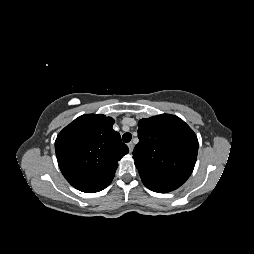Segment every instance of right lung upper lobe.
I'll list each match as a JSON object with an SVG mask.
<instances>
[{"label": "right lung upper lobe", "instance_id": "cb5924a9", "mask_svg": "<svg viewBox=\"0 0 254 254\" xmlns=\"http://www.w3.org/2000/svg\"><path fill=\"white\" fill-rule=\"evenodd\" d=\"M114 119L86 114L66 126L57 136L55 152L60 170L76 189L94 193L114 178L118 161L129 152L120 134L113 130Z\"/></svg>", "mask_w": 254, "mask_h": 254}]
</instances>
